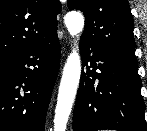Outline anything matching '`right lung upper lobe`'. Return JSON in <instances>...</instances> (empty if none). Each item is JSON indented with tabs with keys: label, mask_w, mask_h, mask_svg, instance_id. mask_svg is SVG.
I'll return each mask as SVG.
<instances>
[{
	"label": "right lung upper lobe",
	"mask_w": 147,
	"mask_h": 131,
	"mask_svg": "<svg viewBox=\"0 0 147 131\" xmlns=\"http://www.w3.org/2000/svg\"><path fill=\"white\" fill-rule=\"evenodd\" d=\"M58 0H0V59L57 35Z\"/></svg>",
	"instance_id": "1"
}]
</instances>
